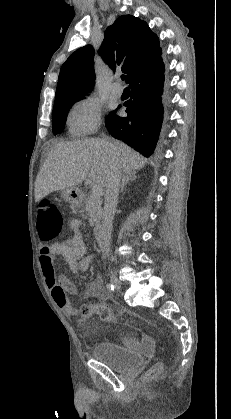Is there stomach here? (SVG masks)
I'll use <instances>...</instances> for the list:
<instances>
[{"instance_id":"1","label":"stomach","mask_w":231,"mask_h":419,"mask_svg":"<svg viewBox=\"0 0 231 419\" xmlns=\"http://www.w3.org/2000/svg\"><path fill=\"white\" fill-rule=\"evenodd\" d=\"M61 197L64 201L72 205H78L81 202V192L76 187L63 189Z\"/></svg>"}]
</instances>
